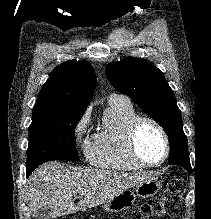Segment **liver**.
Listing matches in <instances>:
<instances>
[{
  "label": "liver",
  "mask_w": 211,
  "mask_h": 219,
  "mask_svg": "<svg viewBox=\"0 0 211 219\" xmlns=\"http://www.w3.org/2000/svg\"><path fill=\"white\" fill-rule=\"evenodd\" d=\"M148 173H124L97 169H67L57 162L43 164L31 174L28 200L33 217L47 207L57 218L86 211L107 202L116 195L149 178ZM79 195L78 205L72 197Z\"/></svg>",
  "instance_id": "6515ba94"
}]
</instances>
